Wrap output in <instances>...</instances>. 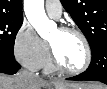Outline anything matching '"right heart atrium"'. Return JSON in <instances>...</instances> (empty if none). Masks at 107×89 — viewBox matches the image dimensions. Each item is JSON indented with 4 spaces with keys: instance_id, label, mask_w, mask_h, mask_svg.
Returning a JSON list of instances; mask_svg holds the SVG:
<instances>
[{
    "instance_id": "1",
    "label": "right heart atrium",
    "mask_w": 107,
    "mask_h": 89,
    "mask_svg": "<svg viewBox=\"0 0 107 89\" xmlns=\"http://www.w3.org/2000/svg\"><path fill=\"white\" fill-rule=\"evenodd\" d=\"M13 49L16 59L32 71L42 68L49 54L48 43L28 22H23L17 31Z\"/></svg>"
}]
</instances>
